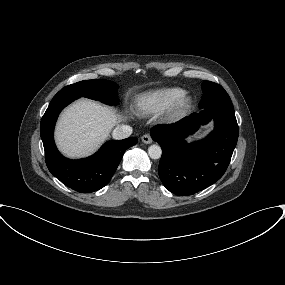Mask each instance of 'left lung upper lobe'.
<instances>
[{"instance_id":"left-lung-upper-lobe-1","label":"left lung upper lobe","mask_w":285,"mask_h":285,"mask_svg":"<svg viewBox=\"0 0 285 285\" xmlns=\"http://www.w3.org/2000/svg\"><path fill=\"white\" fill-rule=\"evenodd\" d=\"M203 95L199 108L204 109L208 107L220 106L228 109H234L231 99L227 92L219 84L211 81H204L202 83Z\"/></svg>"}]
</instances>
